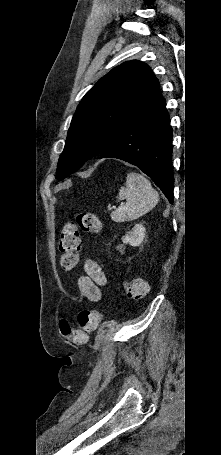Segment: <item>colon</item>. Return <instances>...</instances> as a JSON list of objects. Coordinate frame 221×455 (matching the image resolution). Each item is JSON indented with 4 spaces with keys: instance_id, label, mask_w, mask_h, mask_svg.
<instances>
[{
    "instance_id": "colon-1",
    "label": "colon",
    "mask_w": 221,
    "mask_h": 455,
    "mask_svg": "<svg viewBox=\"0 0 221 455\" xmlns=\"http://www.w3.org/2000/svg\"><path fill=\"white\" fill-rule=\"evenodd\" d=\"M100 218L91 212L79 213L75 220L68 221L62 227L59 239L60 265L65 270L76 267L81 250L80 232L96 234L101 230ZM120 287L130 299H142L149 290L148 282L143 278L125 280ZM102 319V314L95 310H82L77 317L78 328H71L66 320L59 324L65 339L74 345H83L87 334L93 331Z\"/></svg>"
}]
</instances>
